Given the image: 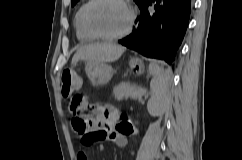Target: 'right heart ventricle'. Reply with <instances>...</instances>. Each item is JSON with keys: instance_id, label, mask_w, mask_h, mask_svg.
<instances>
[{"instance_id": "1", "label": "right heart ventricle", "mask_w": 242, "mask_h": 160, "mask_svg": "<svg viewBox=\"0 0 242 160\" xmlns=\"http://www.w3.org/2000/svg\"><path fill=\"white\" fill-rule=\"evenodd\" d=\"M88 1L85 0L80 7L77 9L74 16V27L77 39L81 42H88L95 39L91 34L88 33L83 24V12L87 5Z\"/></svg>"}]
</instances>
